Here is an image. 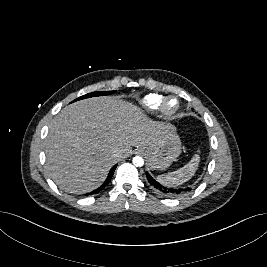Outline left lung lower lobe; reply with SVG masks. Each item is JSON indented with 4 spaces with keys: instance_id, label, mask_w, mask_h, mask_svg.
Here are the masks:
<instances>
[{
    "instance_id": "1",
    "label": "left lung lower lobe",
    "mask_w": 267,
    "mask_h": 267,
    "mask_svg": "<svg viewBox=\"0 0 267 267\" xmlns=\"http://www.w3.org/2000/svg\"><path fill=\"white\" fill-rule=\"evenodd\" d=\"M146 177L150 185L156 189L158 192L162 193L163 195L166 196H178L185 194L186 192L191 191V187H186V188H174V187H166L160 184L156 179H154L148 172H146Z\"/></svg>"
}]
</instances>
